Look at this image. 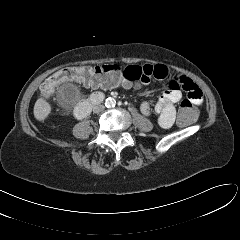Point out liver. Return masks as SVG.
<instances>
[{
    "label": "liver",
    "instance_id": "obj_1",
    "mask_svg": "<svg viewBox=\"0 0 240 240\" xmlns=\"http://www.w3.org/2000/svg\"><path fill=\"white\" fill-rule=\"evenodd\" d=\"M34 117L38 121H44L51 112L50 104L43 98H39L34 105Z\"/></svg>",
    "mask_w": 240,
    "mask_h": 240
}]
</instances>
